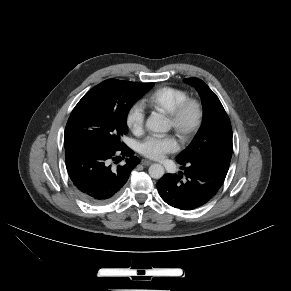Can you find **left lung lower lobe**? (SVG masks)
<instances>
[{
	"instance_id": "1",
	"label": "left lung lower lobe",
	"mask_w": 291,
	"mask_h": 291,
	"mask_svg": "<svg viewBox=\"0 0 291 291\" xmlns=\"http://www.w3.org/2000/svg\"><path fill=\"white\" fill-rule=\"evenodd\" d=\"M229 165L212 160L181 164L183 173L166 174L157 183L161 198L170 206L193 210L206 204L222 186Z\"/></svg>"
}]
</instances>
